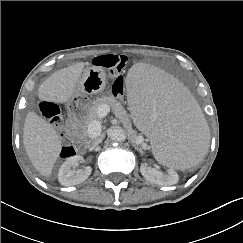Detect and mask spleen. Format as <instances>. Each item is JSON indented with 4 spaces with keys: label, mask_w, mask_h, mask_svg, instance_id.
<instances>
[{
    "label": "spleen",
    "mask_w": 243,
    "mask_h": 243,
    "mask_svg": "<svg viewBox=\"0 0 243 243\" xmlns=\"http://www.w3.org/2000/svg\"><path fill=\"white\" fill-rule=\"evenodd\" d=\"M125 87L136 126L167 169L188 171L205 156L210 133L191 93L147 65L133 67Z\"/></svg>",
    "instance_id": "1"
}]
</instances>
